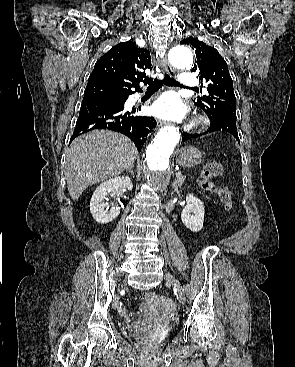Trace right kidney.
Listing matches in <instances>:
<instances>
[{
	"label": "right kidney",
	"instance_id": "obj_1",
	"mask_svg": "<svg viewBox=\"0 0 295 367\" xmlns=\"http://www.w3.org/2000/svg\"><path fill=\"white\" fill-rule=\"evenodd\" d=\"M132 188L133 184L130 178L124 176L115 177L100 184L94 191L90 202V212L93 218L101 224H107L117 218L120 214V207L114 206L110 210L104 211V208L108 207L104 199L110 193L115 196L119 191H131Z\"/></svg>",
	"mask_w": 295,
	"mask_h": 367
}]
</instances>
